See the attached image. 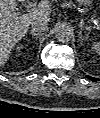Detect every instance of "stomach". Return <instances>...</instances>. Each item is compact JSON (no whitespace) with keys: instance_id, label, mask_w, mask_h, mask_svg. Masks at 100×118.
I'll return each instance as SVG.
<instances>
[{"instance_id":"1","label":"stomach","mask_w":100,"mask_h":118,"mask_svg":"<svg viewBox=\"0 0 100 118\" xmlns=\"http://www.w3.org/2000/svg\"><path fill=\"white\" fill-rule=\"evenodd\" d=\"M93 0H76L79 5L90 6Z\"/></svg>"}]
</instances>
